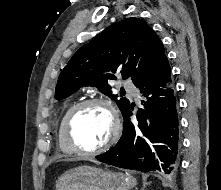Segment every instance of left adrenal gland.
Listing matches in <instances>:
<instances>
[{
  "label": "left adrenal gland",
  "instance_id": "1",
  "mask_svg": "<svg viewBox=\"0 0 221 190\" xmlns=\"http://www.w3.org/2000/svg\"><path fill=\"white\" fill-rule=\"evenodd\" d=\"M147 184L148 183H144L143 188L141 190H144Z\"/></svg>",
  "mask_w": 221,
  "mask_h": 190
}]
</instances>
